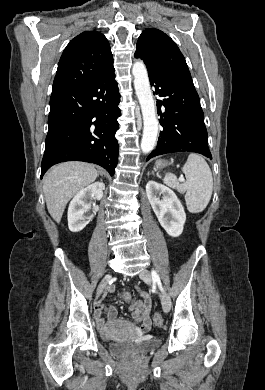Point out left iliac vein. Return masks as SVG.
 I'll return each mask as SVG.
<instances>
[{"label": "left iliac vein", "mask_w": 265, "mask_h": 390, "mask_svg": "<svg viewBox=\"0 0 265 390\" xmlns=\"http://www.w3.org/2000/svg\"><path fill=\"white\" fill-rule=\"evenodd\" d=\"M140 278L144 282L150 283L152 281L151 272L147 269L142 270L140 273ZM160 298L164 312H169L171 309V299L169 295L164 290H161Z\"/></svg>", "instance_id": "obj_1"}]
</instances>
